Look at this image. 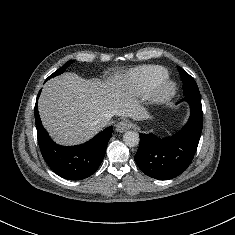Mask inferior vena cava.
Returning <instances> with one entry per match:
<instances>
[{"label": "inferior vena cava", "instance_id": "inferior-vena-cava-1", "mask_svg": "<svg viewBox=\"0 0 235 235\" xmlns=\"http://www.w3.org/2000/svg\"><path fill=\"white\" fill-rule=\"evenodd\" d=\"M110 121V116H105L97 121V124L101 127L108 125Z\"/></svg>", "mask_w": 235, "mask_h": 235}]
</instances>
